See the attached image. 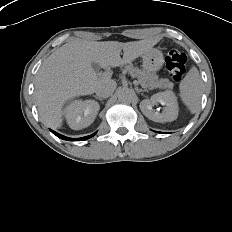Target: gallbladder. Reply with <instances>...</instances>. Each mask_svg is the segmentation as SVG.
Masks as SVG:
<instances>
[{
  "label": "gallbladder",
  "instance_id": "1",
  "mask_svg": "<svg viewBox=\"0 0 232 232\" xmlns=\"http://www.w3.org/2000/svg\"><path fill=\"white\" fill-rule=\"evenodd\" d=\"M92 68L94 69V71L98 72L99 71V65L95 62H92Z\"/></svg>",
  "mask_w": 232,
  "mask_h": 232
}]
</instances>
